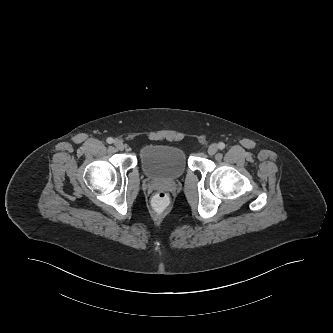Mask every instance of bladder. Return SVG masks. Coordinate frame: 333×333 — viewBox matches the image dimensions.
Listing matches in <instances>:
<instances>
[{"instance_id":"obj_1","label":"bladder","mask_w":333,"mask_h":333,"mask_svg":"<svg viewBox=\"0 0 333 333\" xmlns=\"http://www.w3.org/2000/svg\"><path fill=\"white\" fill-rule=\"evenodd\" d=\"M139 161L144 174L153 179L175 180L187 169L184 152L173 146H146L140 152Z\"/></svg>"}]
</instances>
